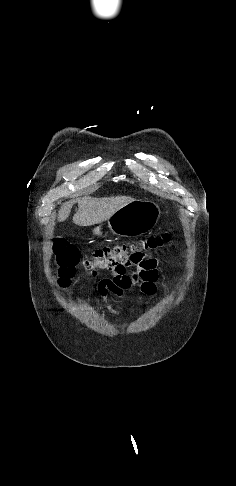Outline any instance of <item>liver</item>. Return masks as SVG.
<instances>
[{"label":"liver","mask_w":236,"mask_h":486,"mask_svg":"<svg viewBox=\"0 0 236 486\" xmlns=\"http://www.w3.org/2000/svg\"><path fill=\"white\" fill-rule=\"evenodd\" d=\"M134 201L128 196L110 198L83 197L78 200V211L73 222L78 226H91L108 220L117 210ZM71 202L64 203L58 213V220L65 221L70 214Z\"/></svg>","instance_id":"obj_1"}]
</instances>
